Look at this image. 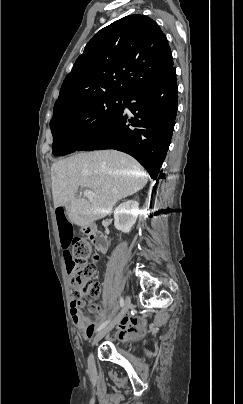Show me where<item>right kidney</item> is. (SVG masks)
<instances>
[{"instance_id": "1", "label": "right kidney", "mask_w": 243, "mask_h": 404, "mask_svg": "<svg viewBox=\"0 0 243 404\" xmlns=\"http://www.w3.org/2000/svg\"><path fill=\"white\" fill-rule=\"evenodd\" d=\"M137 218L138 212L134 202H124L114 212V226L116 230H121V232L128 234L136 224Z\"/></svg>"}]
</instances>
